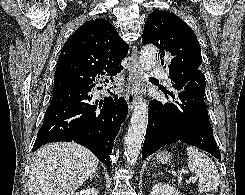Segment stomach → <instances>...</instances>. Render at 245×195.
<instances>
[{"label":"stomach","mask_w":245,"mask_h":195,"mask_svg":"<svg viewBox=\"0 0 245 195\" xmlns=\"http://www.w3.org/2000/svg\"><path fill=\"white\" fill-rule=\"evenodd\" d=\"M172 159V155L167 151H160L157 153L156 161L158 164H166L169 163Z\"/></svg>","instance_id":"1"}]
</instances>
